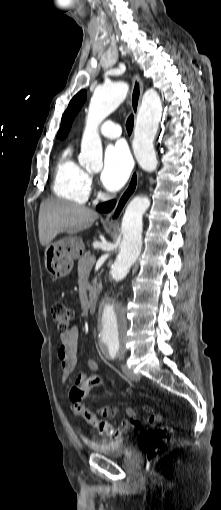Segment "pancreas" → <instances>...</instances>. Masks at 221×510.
<instances>
[{"mask_svg":"<svg viewBox=\"0 0 221 510\" xmlns=\"http://www.w3.org/2000/svg\"><path fill=\"white\" fill-rule=\"evenodd\" d=\"M91 254L90 252H85L84 255H82L78 261V271L79 272H82L83 270H86V271H90L92 266H93V263L90 262V258H91Z\"/></svg>","mask_w":221,"mask_h":510,"instance_id":"cf45deb5","label":"pancreas"}]
</instances>
